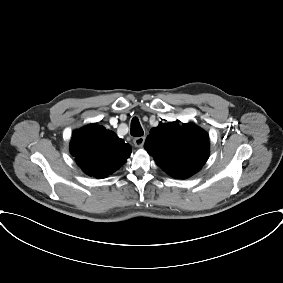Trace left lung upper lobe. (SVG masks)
<instances>
[{"label": "left lung upper lobe", "mask_w": 283, "mask_h": 283, "mask_svg": "<svg viewBox=\"0 0 283 283\" xmlns=\"http://www.w3.org/2000/svg\"><path fill=\"white\" fill-rule=\"evenodd\" d=\"M147 152L170 176L185 179L196 173L207 161L209 137L189 123H160L151 129L145 141Z\"/></svg>", "instance_id": "left-lung-upper-lobe-1"}]
</instances>
